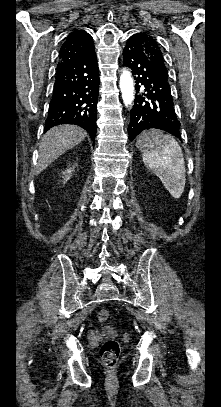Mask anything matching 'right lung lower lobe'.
I'll return each mask as SVG.
<instances>
[{
	"label": "right lung lower lobe",
	"mask_w": 221,
	"mask_h": 407,
	"mask_svg": "<svg viewBox=\"0 0 221 407\" xmlns=\"http://www.w3.org/2000/svg\"><path fill=\"white\" fill-rule=\"evenodd\" d=\"M99 69L94 44L89 52L57 69L45 132L59 124H75L96 136Z\"/></svg>",
	"instance_id": "right-lung-lower-lobe-1"
}]
</instances>
